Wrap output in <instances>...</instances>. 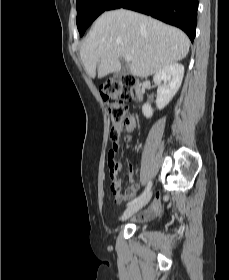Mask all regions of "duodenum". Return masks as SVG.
Masks as SVG:
<instances>
[{
	"mask_svg": "<svg viewBox=\"0 0 229 280\" xmlns=\"http://www.w3.org/2000/svg\"><path fill=\"white\" fill-rule=\"evenodd\" d=\"M136 95H137V99L138 101H141L143 99L144 96V89L141 85L138 84L137 89H136Z\"/></svg>",
	"mask_w": 229,
	"mask_h": 280,
	"instance_id": "1",
	"label": "duodenum"
}]
</instances>
